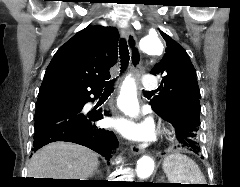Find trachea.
<instances>
[{
	"instance_id": "obj_1",
	"label": "trachea",
	"mask_w": 240,
	"mask_h": 187,
	"mask_svg": "<svg viewBox=\"0 0 240 187\" xmlns=\"http://www.w3.org/2000/svg\"><path fill=\"white\" fill-rule=\"evenodd\" d=\"M119 50H120V59H121V71H123L126 68L128 61H129V51H128V47H127V44L124 39H122L120 41ZM112 83H113V81H110L108 83L109 87H108V89L105 90V93L112 92V90H113L111 88ZM145 92L149 93V91H145Z\"/></svg>"
}]
</instances>
